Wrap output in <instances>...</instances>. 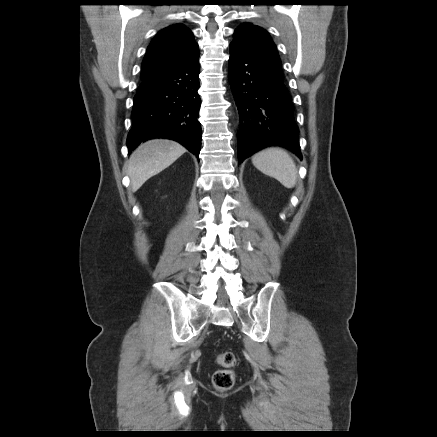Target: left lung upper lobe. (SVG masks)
I'll return each mask as SVG.
<instances>
[{"label":"left lung upper lobe","mask_w":437,"mask_h":437,"mask_svg":"<svg viewBox=\"0 0 437 437\" xmlns=\"http://www.w3.org/2000/svg\"><path fill=\"white\" fill-rule=\"evenodd\" d=\"M234 36L230 45L240 48L262 63L273 74L283 78L276 45L263 28L251 23H243L235 30Z\"/></svg>","instance_id":"left-lung-upper-lobe-1"}]
</instances>
